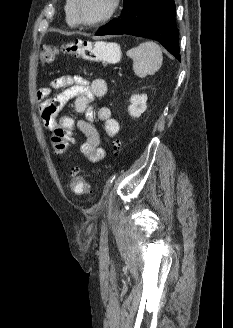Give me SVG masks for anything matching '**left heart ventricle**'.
<instances>
[{"label": "left heart ventricle", "mask_w": 233, "mask_h": 328, "mask_svg": "<svg viewBox=\"0 0 233 328\" xmlns=\"http://www.w3.org/2000/svg\"><path fill=\"white\" fill-rule=\"evenodd\" d=\"M111 0H80L79 12L81 18L87 22H94L102 18L110 8Z\"/></svg>", "instance_id": "b2bd125f"}]
</instances>
